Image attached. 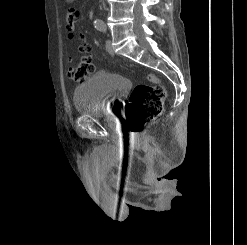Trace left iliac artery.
<instances>
[{
    "mask_svg": "<svg viewBox=\"0 0 247 245\" xmlns=\"http://www.w3.org/2000/svg\"><path fill=\"white\" fill-rule=\"evenodd\" d=\"M96 28L101 32H106V25L103 22L97 23Z\"/></svg>",
    "mask_w": 247,
    "mask_h": 245,
    "instance_id": "1",
    "label": "left iliac artery"
}]
</instances>
